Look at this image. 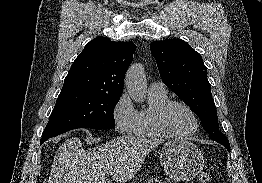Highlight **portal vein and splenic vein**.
I'll return each mask as SVG.
<instances>
[{
    "instance_id": "18ae733b",
    "label": "portal vein and splenic vein",
    "mask_w": 262,
    "mask_h": 183,
    "mask_svg": "<svg viewBox=\"0 0 262 183\" xmlns=\"http://www.w3.org/2000/svg\"><path fill=\"white\" fill-rule=\"evenodd\" d=\"M109 174H110V175H112V174H113V172H112V171H110V172H109Z\"/></svg>"
}]
</instances>
